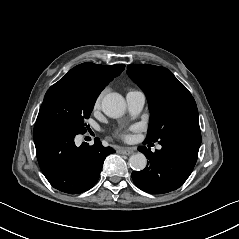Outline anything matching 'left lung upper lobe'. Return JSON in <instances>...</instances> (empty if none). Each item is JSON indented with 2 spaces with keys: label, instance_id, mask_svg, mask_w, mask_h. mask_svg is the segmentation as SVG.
Masks as SVG:
<instances>
[{
  "label": "left lung upper lobe",
  "instance_id": "5c2ea615",
  "mask_svg": "<svg viewBox=\"0 0 239 239\" xmlns=\"http://www.w3.org/2000/svg\"><path fill=\"white\" fill-rule=\"evenodd\" d=\"M128 75L144 91L151 113L147 142L183 128H199L194 98L171 71L154 65H128Z\"/></svg>",
  "mask_w": 239,
  "mask_h": 239
}]
</instances>
